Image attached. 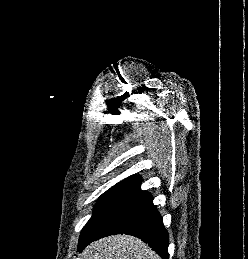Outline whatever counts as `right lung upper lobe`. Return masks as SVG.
<instances>
[{
    "label": "right lung upper lobe",
    "instance_id": "obj_1",
    "mask_svg": "<svg viewBox=\"0 0 248 259\" xmlns=\"http://www.w3.org/2000/svg\"><path fill=\"white\" fill-rule=\"evenodd\" d=\"M141 181V178L139 176H131L123 181H121L120 183L118 184H127V185H131V186H135L137 184H139Z\"/></svg>",
    "mask_w": 248,
    "mask_h": 259
}]
</instances>
